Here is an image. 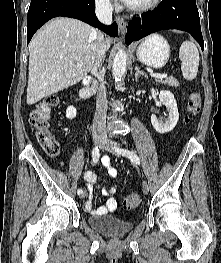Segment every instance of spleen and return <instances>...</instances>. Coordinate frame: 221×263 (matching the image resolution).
I'll return each instance as SVG.
<instances>
[{
  "label": "spleen",
  "mask_w": 221,
  "mask_h": 263,
  "mask_svg": "<svg viewBox=\"0 0 221 263\" xmlns=\"http://www.w3.org/2000/svg\"><path fill=\"white\" fill-rule=\"evenodd\" d=\"M182 75L186 80H193L197 76L199 66V52L191 41H184L179 50Z\"/></svg>",
  "instance_id": "spleen-1"
}]
</instances>
